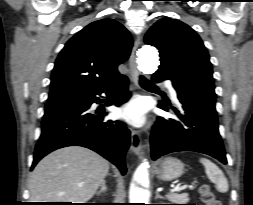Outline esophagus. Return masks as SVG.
<instances>
[{
  "label": "esophagus",
  "mask_w": 253,
  "mask_h": 205,
  "mask_svg": "<svg viewBox=\"0 0 253 205\" xmlns=\"http://www.w3.org/2000/svg\"><path fill=\"white\" fill-rule=\"evenodd\" d=\"M140 38H137L134 42V46L132 48V52L129 58V68H130V78L132 82L137 85L138 83V75L139 72L137 70V50L140 46ZM130 150L136 155H140L142 153V139L138 131H131V145Z\"/></svg>",
  "instance_id": "1"
}]
</instances>
